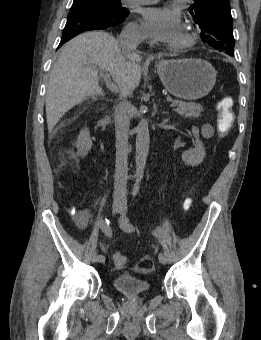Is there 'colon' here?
<instances>
[{
    "label": "colon",
    "instance_id": "5ec220e1",
    "mask_svg": "<svg viewBox=\"0 0 261 340\" xmlns=\"http://www.w3.org/2000/svg\"><path fill=\"white\" fill-rule=\"evenodd\" d=\"M234 101L231 97H223L217 103V111H218V119H217V127L218 131L221 135L227 134L235 121V114H234ZM190 201L187 200L185 203V208L189 209ZM113 264L117 268L124 267L126 263V257L116 252L112 256Z\"/></svg>",
    "mask_w": 261,
    "mask_h": 340
}]
</instances>
